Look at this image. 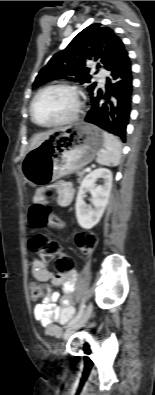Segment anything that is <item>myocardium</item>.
Segmentation results:
<instances>
[{
    "instance_id": "1",
    "label": "myocardium",
    "mask_w": 155,
    "mask_h": 395,
    "mask_svg": "<svg viewBox=\"0 0 155 395\" xmlns=\"http://www.w3.org/2000/svg\"><path fill=\"white\" fill-rule=\"evenodd\" d=\"M51 89H66V90L72 92L75 97V100H76L75 107H74L72 113L65 119H62V120L54 122V123L42 124V123H39L34 116V105H35L36 100L42 93H44L48 90H51ZM82 106H83L82 93L77 86L69 84V83H62V82L61 83H53V84H49V85L42 87L41 89H39L36 92V94L33 96L32 100L30 102L29 114H30L31 121L35 125L42 127V128H56V127L69 125V124L73 123L74 121H76L77 118L79 117Z\"/></svg>"
}]
</instances>
